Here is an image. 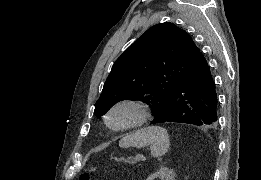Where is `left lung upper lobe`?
<instances>
[{"label":"left lung upper lobe","mask_w":261,"mask_h":180,"mask_svg":"<svg viewBox=\"0 0 261 180\" xmlns=\"http://www.w3.org/2000/svg\"><path fill=\"white\" fill-rule=\"evenodd\" d=\"M198 52L192 38L175 24L152 26L113 64L94 114L104 115L115 103L129 99L148 104L157 119Z\"/></svg>","instance_id":"5c2ea615"}]
</instances>
